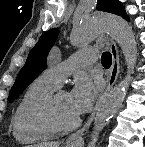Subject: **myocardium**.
<instances>
[{"label":"myocardium","instance_id":"f54148a6","mask_svg":"<svg viewBox=\"0 0 145 147\" xmlns=\"http://www.w3.org/2000/svg\"><path fill=\"white\" fill-rule=\"evenodd\" d=\"M65 92L62 89L54 91L44 102L43 109L47 119L58 131H70L80 124V118L76 117L74 120L65 121L60 116L57 109V100L59 95Z\"/></svg>","mask_w":145,"mask_h":147}]
</instances>
